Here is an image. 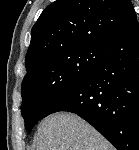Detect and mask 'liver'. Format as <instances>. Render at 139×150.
<instances>
[{"instance_id": "1", "label": "liver", "mask_w": 139, "mask_h": 150, "mask_svg": "<svg viewBox=\"0 0 139 150\" xmlns=\"http://www.w3.org/2000/svg\"><path fill=\"white\" fill-rule=\"evenodd\" d=\"M36 150H113V147L77 115L56 113L38 127Z\"/></svg>"}]
</instances>
